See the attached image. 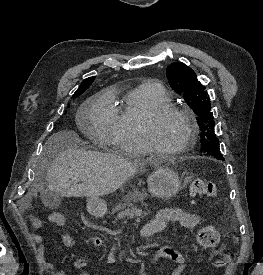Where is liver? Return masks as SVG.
Returning a JSON list of instances; mask_svg holds the SVG:
<instances>
[{
  "label": "liver",
  "instance_id": "obj_1",
  "mask_svg": "<svg viewBox=\"0 0 263 275\" xmlns=\"http://www.w3.org/2000/svg\"><path fill=\"white\" fill-rule=\"evenodd\" d=\"M78 142L74 131H60L50 137L46 148L54 150V158L47 169L46 190L64 197L99 199L122 187L145 164L111 153L87 151L78 148ZM30 196L31 192L26 199Z\"/></svg>",
  "mask_w": 263,
  "mask_h": 275
}]
</instances>
